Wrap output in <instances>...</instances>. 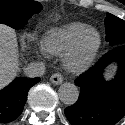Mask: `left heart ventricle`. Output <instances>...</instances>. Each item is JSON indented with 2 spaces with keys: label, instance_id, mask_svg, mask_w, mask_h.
<instances>
[{
  "label": "left heart ventricle",
  "instance_id": "obj_1",
  "mask_svg": "<svg viewBox=\"0 0 125 125\" xmlns=\"http://www.w3.org/2000/svg\"><path fill=\"white\" fill-rule=\"evenodd\" d=\"M97 41V35L94 32H90L86 34L79 45L78 51H77V57L82 58L84 57L88 51L96 44Z\"/></svg>",
  "mask_w": 125,
  "mask_h": 125
}]
</instances>
